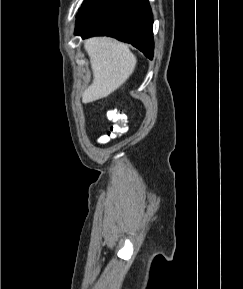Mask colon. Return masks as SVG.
I'll return each instance as SVG.
<instances>
[{"label": "colon", "mask_w": 243, "mask_h": 289, "mask_svg": "<svg viewBox=\"0 0 243 289\" xmlns=\"http://www.w3.org/2000/svg\"><path fill=\"white\" fill-rule=\"evenodd\" d=\"M108 120L111 122V125L108 129V132L101 137H99L98 142L104 144L112 138H116L127 131V120L124 113L117 109H111L107 113Z\"/></svg>", "instance_id": "5ec220e1"}]
</instances>
